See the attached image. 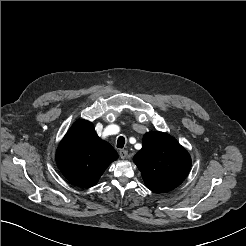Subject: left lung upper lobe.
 I'll use <instances>...</instances> for the list:
<instances>
[{
  "label": "left lung upper lobe",
  "instance_id": "1",
  "mask_svg": "<svg viewBox=\"0 0 246 246\" xmlns=\"http://www.w3.org/2000/svg\"><path fill=\"white\" fill-rule=\"evenodd\" d=\"M143 147L134 156L145 185L157 193L179 186L189 173V153L172 136L149 132L143 137Z\"/></svg>",
  "mask_w": 246,
  "mask_h": 246
}]
</instances>
